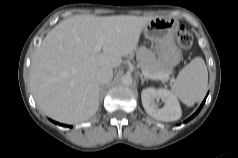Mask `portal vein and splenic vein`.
Instances as JSON below:
<instances>
[{
    "instance_id": "18ae733b",
    "label": "portal vein and splenic vein",
    "mask_w": 238,
    "mask_h": 158,
    "mask_svg": "<svg viewBox=\"0 0 238 158\" xmlns=\"http://www.w3.org/2000/svg\"><path fill=\"white\" fill-rule=\"evenodd\" d=\"M103 43H104V38H99L94 47L95 52L101 51ZM142 73L146 78L153 79V80H168L169 78L168 74H161V73L151 74L146 70H143Z\"/></svg>"
}]
</instances>
